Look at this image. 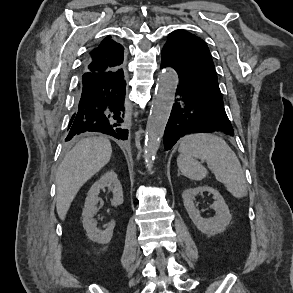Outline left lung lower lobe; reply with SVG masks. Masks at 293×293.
<instances>
[{"label":"left lung lower lobe","instance_id":"1","mask_svg":"<svg viewBox=\"0 0 293 293\" xmlns=\"http://www.w3.org/2000/svg\"><path fill=\"white\" fill-rule=\"evenodd\" d=\"M171 66L179 76L176 99L164 133L169 150L180 137L199 132H224L234 135L223 99L183 79L170 54L162 49L161 68Z\"/></svg>","mask_w":293,"mask_h":293}]
</instances>
